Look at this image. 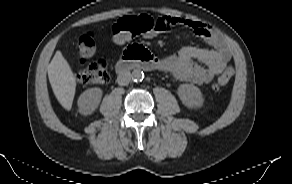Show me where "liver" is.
Here are the masks:
<instances>
[{
	"label": "liver",
	"instance_id": "6515ba94",
	"mask_svg": "<svg viewBox=\"0 0 292 184\" xmlns=\"http://www.w3.org/2000/svg\"><path fill=\"white\" fill-rule=\"evenodd\" d=\"M48 78L59 103L66 110H70L76 90V79L60 51L55 53L48 65Z\"/></svg>",
	"mask_w": 292,
	"mask_h": 184
}]
</instances>
